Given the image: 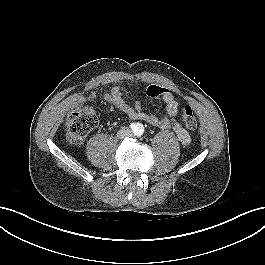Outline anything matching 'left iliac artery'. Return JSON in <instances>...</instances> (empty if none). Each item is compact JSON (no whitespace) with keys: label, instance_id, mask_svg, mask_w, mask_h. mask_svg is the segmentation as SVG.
<instances>
[{"label":"left iliac artery","instance_id":"44dca946","mask_svg":"<svg viewBox=\"0 0 265 265\" xmlns=\"http://www.w3.org/2000/svg\"><path fill=\"white\" fill-rule=\"evenodd\" d=\"M139 129H138V134H141L144 130H143V126L141 125V126H139L138 127Z\"/></svg>","mask_w":265,"mask_h":265}]
</instances>
